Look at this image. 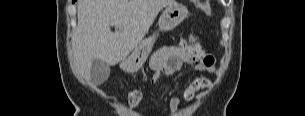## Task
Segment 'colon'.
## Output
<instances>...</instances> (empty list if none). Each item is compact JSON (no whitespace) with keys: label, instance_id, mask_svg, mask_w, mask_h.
I'll use <instances>...</instances> for the list:
<instances>
[{"label":"colon","instance_id":"colon-1","mask_svg":"<svg viewBox=\"0 0 305 116\" xmlns=\"http://www.w3.org/2000/svg\"><path fill=\"white\" fill-rule=\"evenodd\" d=\"M142 102L143 92L141 89H134L130 91L125 104L128 116H134V113L138 110Z\"/></svg>","mask_w":305,"mask_h":116}]
</instances>
